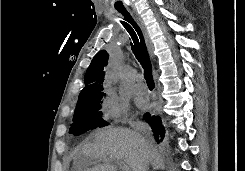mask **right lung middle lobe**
Masks as SVG:
<instances>
[{
  "mask_svg": "<svg viewBox=\"0 0 245 171\" xmlns=\"http://www.w3.org/2000/svg\"><path fill=\"white\" fill-rule=\"evenodd\" d=\"M103 95L78 100L69 133L78 136L88 130L108 125L102 119L101 99Z\"/></svg>",
  "mask_w": 245,
  "mask_h": 171,
  "instance_id": "right-lung-middle-lobe-1",
  "label": "right lung middle lobe"
}]
</instances>
